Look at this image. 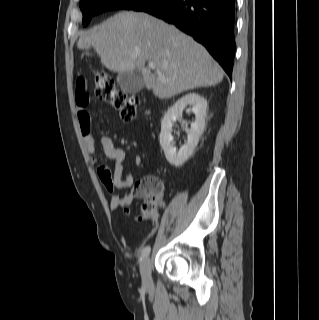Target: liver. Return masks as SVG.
Returning <instances> with one entry per match:
<instances>
[{
    "mask_svg": "<svg viewBox=\"0 0 319 320\" xmlns=\"http://www.w3.org/2000/svg\"><path fill=\"white\" fill-rule=\"evenodd\" d=\"M77 47L93 48L110 71H140L143 85L160 99L223 80L221 67L202 45L146 13H118L83 33ZM147 62L155 63L154 72Z\"/></svg>",
    "mask_w": 319,
    "mask_h": 320,
    "instance_id": "liver-1",
    "label": "liver"
}]
</instances>
